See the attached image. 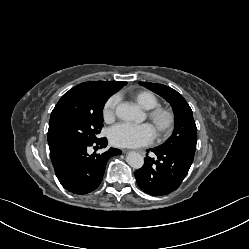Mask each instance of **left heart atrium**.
Segmentation results:
<instances>
[{
	"mask_svg": "<svg viewBox=\"0 0 249 249\" xmlns=\"http://www.w3.org/2000/svg\"><path fill=\"white\" fill-rule=\"evenodd\" d=\"M155 131L149 124L120 123L109 131L110 142L118 147L136 148L153 141Z\"/></svg>",
	"mask_w": 249,
	"mask_h": 249,
	"instance_id": "39dd6f15",
	"label": "left heart atrium"
}]
</instances>
